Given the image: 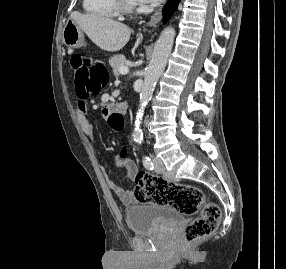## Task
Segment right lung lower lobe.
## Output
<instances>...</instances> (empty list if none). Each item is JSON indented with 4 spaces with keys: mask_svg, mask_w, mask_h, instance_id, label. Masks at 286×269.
Here are the masks:
<instances>
[{
    "mask_svg": "<svg viewBox=\"0 0 286 269\" xmlns=\"http://www.w3.org/2000/svg\"><path fill=\"white\" fill-rule=\"evenodd\" d=\"M180 0H169L167 5L164 7V19L167 20L175 11Z\"/></svg>",
    "mask_w": 286,
    "mask_h": 269,
    "instance_id": "1",
    "label": "right lung lower lobe"
}]
</instances>
